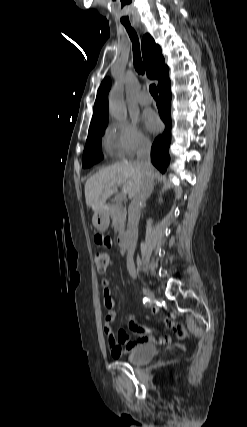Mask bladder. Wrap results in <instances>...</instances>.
I'll list each match as a JSON object with an SVG mask.
<instances>
[{
  "mask_svg": "<svg viewBox=\"0 0 247 427\" xmlns=\"http://www.w3.org/2000/svg\"><path fill=\"white\" fill-rule=\"evenodd\" d=\"M157 353V347L152 343L140 344L127 355V361L133 365H143L150 362Z\"/></svg>",
  "mask_w": 247,
  "mask_h": 427,
  "instance_id": "bladder-1",
  "label": "bladder"
}]
</instances>
